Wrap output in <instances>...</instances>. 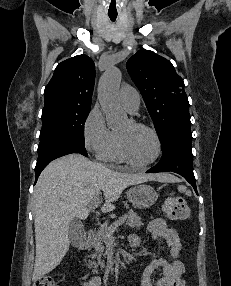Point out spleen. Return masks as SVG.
<instances>
[{
  "label": "spleen",
  "mask_w": 231,
  "mask_h": 286,
  "mask_svg": "<svg viewBox=\"0 0 231 286\" xmlns=\"http://www.w3.org/2000/svg\"><path fill=\"white\" fill-rule=\"evenodd\" d=\"M178 191H180L181 193H185L187 196L191 195V191L187 190V187H185L184 185H179Z\"/></svg>",
  "instance_id": "spleen-1"
}]
</instances>
